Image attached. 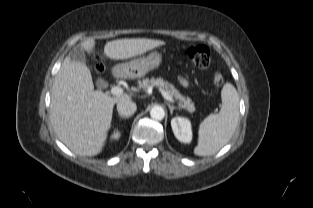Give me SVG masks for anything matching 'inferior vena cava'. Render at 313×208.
I'll return each mask as SVG.
<instances>
[{"label": "inferior vena cava", "instance_id": "obj_1", "mask_svg": "<svg viewBox=\"0 0 313 208\" xmlns=\"http://www.w3.org/2000/svg\"><path fill=\"white\" fill-rule=\"evenodd\" d=\"M137 106L131 100H123L117 103V110L120 115L131 116L136 112Z\"/></svg>", "mask_w": 313, "mask_h": 208}]
</instances>
